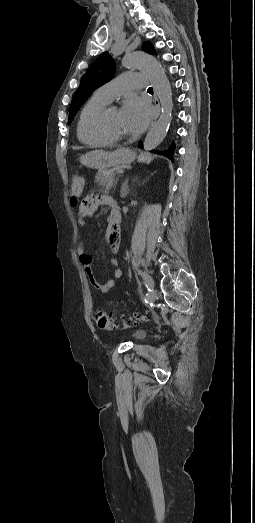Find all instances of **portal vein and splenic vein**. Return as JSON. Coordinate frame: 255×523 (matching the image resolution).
<instances>
[{"label": "portal vein and splenic vein", "mask_w": 255, "mask_h": 523, "mask_svg": "<svg viewBox=\"0 0 255 523\" xmlns=\"http://www.w3.org/2000/svg\"><path fill=\"white\" fill-rule=\"evenodd\" d=\"M118 174L120 176H123L125 174V171L123 169L118 170Z\"/></svg>", "instance_id": "18ae733b"}]
</instances>
